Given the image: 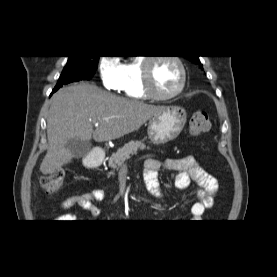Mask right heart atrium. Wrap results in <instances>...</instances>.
<instances>
[{
    "mask_svg": "<svg viewBox=\"0 0 277 277\" xmlns=\"http://www.w3.org/2000/svg\"><path fill=\"white\" fill-rule=\"evenodd\" d=\"M101 83L107 90L119 91L122 88V66L111 56H102L98 62Z\"/></svg>",
    "mask_w": 277,
    "mask_h": 277,
    "instance_id": "right-heart-atrium-1",
    "label": "right heart atrium"
}]
</instances>
